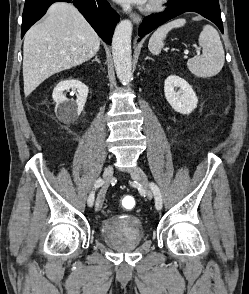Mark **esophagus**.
<instances>
[{
	"mask_svg": "<svg viewBox=\"0 0 249 294\" xmlns=\"http://www.w3.org/2000/svg\"><path fill=\"white\" fill-rule=\"evenodd\" d=\"M130 18L134 23L139 24L141 22V17L137 13H131Z\"/></svg>",
	"mask_w": 249,
	"mask_h": 294,
	"instance_id": "34e87169",
	"label": "esophagus"
}]
</instances>
